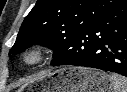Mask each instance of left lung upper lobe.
Masks as SVG:
<instances>
[{
	"mask_svg": "<svg viewBox=\"0 0 127 92\" xmlns=\"http://www.w3.org/2000/svg\"><path fill=\"white\" fill-rule=\"evenodd\" d=\"M125 0H38L24 19L9 54L34 44L54 49L53 60L66 52L76 35ZM52 60V61H53Z\"/></svg>",
	"mask_w": 127,
	"mask_h": 92,
	"instance_id": "5c2ea615",
	"label": "left lung upper lobe"
}]
</instances>
